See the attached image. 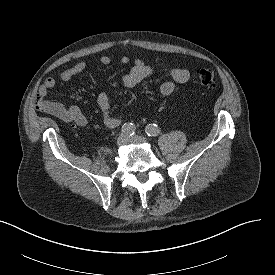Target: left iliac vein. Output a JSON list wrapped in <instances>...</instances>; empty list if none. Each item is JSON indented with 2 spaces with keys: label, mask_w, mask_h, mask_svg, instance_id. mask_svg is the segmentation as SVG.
Masks as SVG:
<instances>
[{
  "label": "left iliac vein",
  "mask_w": 275,
  "mask_h": 275,
  "mask_svg": "<svg viewBox=\"0 0 275 275\" xmlns=\"http://www.w3.org/2000/svg\"><path fill=\"white\" fill-rule=\"evenodd\" d=\"M146 141V139L142 136L135 135L130 138V142L136 143V144H142Z\"/></svg>",
  "instance_id": "1"
}]
</instances>
